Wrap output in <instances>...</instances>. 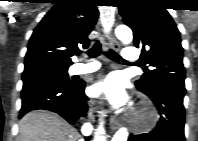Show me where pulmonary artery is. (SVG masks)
I'll use <instances>...</instances> for the list:
<instances>
[{
  "instance_id": "obj_1",
  "label": "pulmonary artery",
  "mask_w": 198,
  "mask_h": 141,
  "mask_svg": "<svg viewBox=\"0 0 198 141\" xmlns=\"http://www.w3.org/2000/svg\"><path fill=\"white\" fill-rule=\"evenodd\" d=\"M123 56L131 63H136L139 60V52L134 47H127L124 49ZM99 68L98 63L83 64L77 63L70 67L69 73L72 75L90 73Z\"/></svg>"
}]
</instances>
